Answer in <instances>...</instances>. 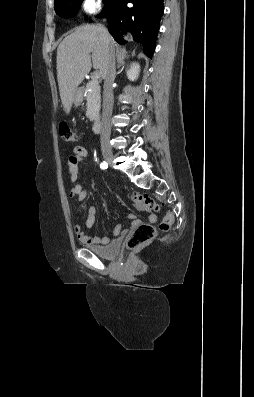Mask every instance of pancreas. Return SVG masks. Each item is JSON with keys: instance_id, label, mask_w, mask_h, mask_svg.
I'll use <instances>...</instances> for the list:
<instances>
[{"instance_id": "cf45deb5", "label": "pancreas", "mask_w": 254, "mask_h": 397, "mask_svg": "<svg viewBox=\"0 0 254 397\" xmlns=\"http://www.w3.org/2000/svg\"><path fill=\"white\" fill-rule=\"evenodd\" d=\"M85 91L87 100L86 116L90 121H94L98 115L101 104L100 86L96 80L89 81Z\"/></svg>"}]
</instances>
